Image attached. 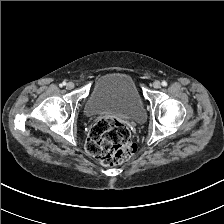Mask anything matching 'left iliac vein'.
<instances>
[{
  "label": "left iliac vein",
  "instance_id": "4c4485c4",
  "mask_svg": "<svg viewBox=\"0 0 224 224\" xmlns=\"http://www.w3.org/2000/svg\"><path fill=\"white\" fill-rule=\"evenodd\" d=\"M153 87L155 88V89H159L160 87H161V83L159 82V81H154L153 82Z\"/></svg>",
  "mask_w": 224,
  "mask_h": 224
}]
</instances>
